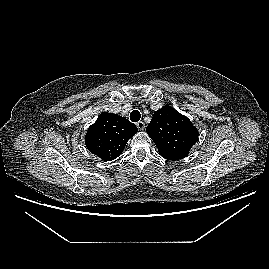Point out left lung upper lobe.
<instances>
[{
    "label": "left lung upper lobe",
    "instance_id": "5c2ea615",
    "mask_svg": "<svg viewBox=\"0 0 269 269\" xmlns=\"http://www.w3.org/2000/svg\"><path fill=\"white\" fill-rule=\"evenodd\" d=\"M146 131L160 155L168 160L183 159L198 140L192 122L169 105L154 113Z\"/></svg>",
    "mask_w": 269,
    "mask_h": 269
}]
</instances>
